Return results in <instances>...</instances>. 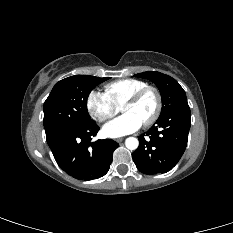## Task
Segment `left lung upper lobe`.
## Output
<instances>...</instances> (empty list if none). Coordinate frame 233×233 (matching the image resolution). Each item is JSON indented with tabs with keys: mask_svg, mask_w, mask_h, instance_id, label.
<instances>
[{
	"mask_svg": "<svg viewBox=\"0 0 233 233\" xmlns=\"http://www.w3.org/2000/svg\"><path fill=\"white\" fill-rule=\"evenodd\" d=\"M134 76L148 79L158 87L162 97L160 116L183 103H187L185 91L172 77L153 71L139 73Z\"/></svg>",
	"mask_w": 233,
	"mask_h": 233,
	"instance_id": "5c2ea615",
	"label": "left lung upper lobe"
}]
</instances>
